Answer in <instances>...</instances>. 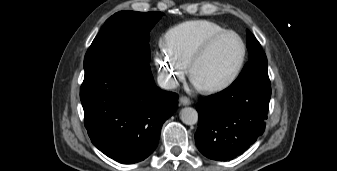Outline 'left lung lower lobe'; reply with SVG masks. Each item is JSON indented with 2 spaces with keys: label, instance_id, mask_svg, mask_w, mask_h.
I'll return each instance as SVG.
<instances>
[{
  "label": "left lung lower lobe",
  "instance_id": "1",
  "mask_svg": "<svg viewBox=\"0 0 337 171\" xmlns=\"http://www.w3.org/2000/svg\"><path fill=\"white\" fill-rule=\"evenodd\" d=\"M270 97V84L252 81L199 100L195 133L199 151L217 161L242 154L265 130Z\"/></svg>",
  "mask_w": 337,
  "mask_h": 171
}]
</instances>
